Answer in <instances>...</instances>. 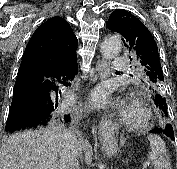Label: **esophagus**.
I'll list each match as a JSON object with an SVG mask.
<instances>
[{"mask_svg":"<svg viewBox=\"0 0 177 169\" xmlns=\"http://www.w3.org/2000/svg\"><path fill=\"white\" fill-rule=\"evenodd\" d=\"M96 71H97V76L100 79H104L107 77L109 68L104 60H98L96 64ZM114 126L112 122L107 119V118H102L100 123H99V136L100 138H106L110 136L113 133Z\"/></svg>","mask_w":177,"mask_h":169,"instance_id":"1","label":"esophagus"}]
</instances>
